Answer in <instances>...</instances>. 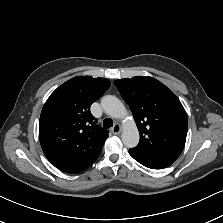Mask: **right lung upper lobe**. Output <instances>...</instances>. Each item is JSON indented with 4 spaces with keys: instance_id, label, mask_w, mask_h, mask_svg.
<instances>
[{
    "instance_id": "cb5924a9",
    "label": "right lung upper lobe",
    "mask_w": 223,
    "mask_h": 223,
    "mask_svg": "<svg viewBox=\"0 0 223 223\" xmlns=\"http://www.w3.org/2000/svg\"><path fill=\"white\" fill-rule=\"evenodd\" d=\"M109 86L105 78L77 76L58 87L44 104L39 140L45 156L59 170L78 173L98 158L108 131L95 124L90 106Z\"/></svg>"
}]
</instances>
